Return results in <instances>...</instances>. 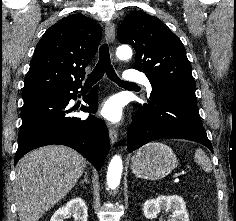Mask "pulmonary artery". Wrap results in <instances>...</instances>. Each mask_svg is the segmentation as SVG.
<instances>
[{
	"label": "pulmonary artery",
	"instance_id": "pulmonary-artery-1",
	"mask_svg": "<svg viewBox=\"0 0 236 221\" xmlns=\"http://www.w3.org/2000/svg\"><path fill=\"white\" fill-rule=\"evenodd\" d=\"M124 78L131 82H137L144 85L148 92H151L152 86L149 79L143 74H132L130 71L124 73Z\"/></svg>",
	"mask_w": 236,
	"mask_h": 221
}]
</instances>
